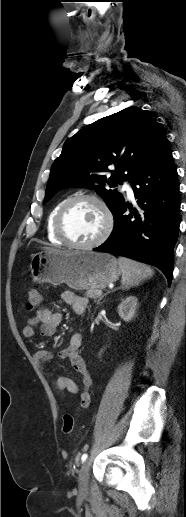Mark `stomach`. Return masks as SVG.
<instances>
[{
	"mask_svg": "<svg viewBox=\"0 0 186 517\" xmlns=\"http://www.w3.org/2000/svg\"><path fill=\"white\" fill-rule=\"evenodd\" d=\"M30 269L36 283H65L74 290L104 288L122 273L112 255L79 250L66 254L49 251L33 254Z\"/></svg>",
	"mask_w": 186,
	"mask_h": 517,
	"instance_id": "0dacf381",
	"label": "stomach"
}]
</instances>
